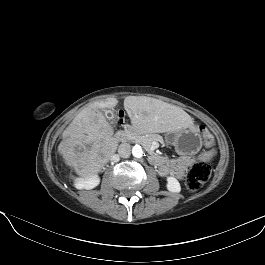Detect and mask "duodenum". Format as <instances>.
I'll return each instance as SVG.
<instances>
[{
    "instance_id": "1",
    "label": "duodenum",
    "mask_w": 265,
    "mask_h": 265,
    "mask_svg": "<svg viewBox=\"0 0 265 265\" xmlns=\"http://www.w3.org/2000/svg\"><path fill=\"white\" fill-rule=\"evenodd\" d=\"M125 137V131L124 130H121L119 131L117 134H116V138L118 140H121ZM149 160L152 164L156 165V166H160L163 162H164V159L163 157L159 156V155H156V154H152L149 156Z\"/></svg>"
}]
</instances>
